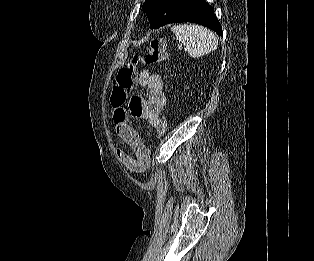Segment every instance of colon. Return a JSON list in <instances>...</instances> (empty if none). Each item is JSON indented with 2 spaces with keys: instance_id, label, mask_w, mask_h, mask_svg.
<instances>
[{
  "instance_id": "colon-1",
  "label": "colon",
  "mask_w": 314,
  "mask_h": 261,
  "mask_svg": "<svg viewBox=\"0 0 314 261\" xmlns=\"http://www.w3.org/2000/svg\"><path fill=\"white\" fill-rule=\"evenodd\" d=\"M165 41L163 39H154L151 41L148 51L144 56L135 55L130 63L119 69L115 84L112 88L111 102L114 104L124 103L127 100L129 92L135 85V69L144 63L146 65H155L165 59ZM167 129V120L162 118L156 127V136L161 138Z\"/></svg>"
}]
</instances>
